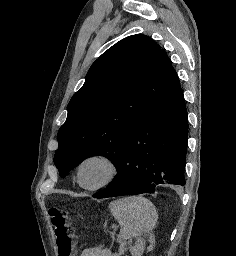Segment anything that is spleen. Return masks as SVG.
Segmentation results:
<instances>
[{
  "instance_id": "3e777b00",
  "label": "spleen",
  "mask_w": 236,
  "mask_h": 256,
  "mask_svg": "<svg viewBox=\"0 0 236 256\" xmlns=\"http://www.w3.org/2000/svg\"><path fill=\"white\" fill-rule=\"evenodd\" d=\"M112 216L121 226L119 238L129 240L137 238L135 246H131L132 256H143L144 240L138 238L143 234H149L157 222L155 206L147 198L142 196H131V198H121L109 204ZM82 256H117L111 254V250H101V248H91L83 252Z\"/></svg>"
}]
</instances>
